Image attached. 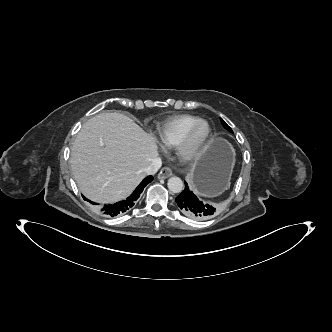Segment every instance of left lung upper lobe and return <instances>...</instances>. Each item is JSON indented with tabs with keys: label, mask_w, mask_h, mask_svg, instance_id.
<instances>
[{
	"label": "left lung upper lobe",
	"mask_w": 332,
	"mask_h": 332,
	"mask_svg": "<svg viewBox=\"0 0 332 332\" xmlns=\"http://www.w3.org/2000/svg\"><path fill=\"white\" fill-rule=\"evenodd\" d=\"M223 127L227 129L228 131L232 132V129L226 124V122L223 119H220Z\"/></svg>",
	"instance_id": "5c2ea615"
}]
</instances>
